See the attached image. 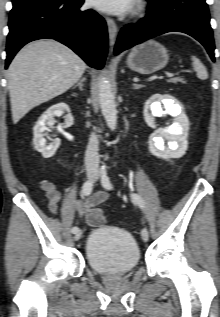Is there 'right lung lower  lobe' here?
<instances>
[{
    "mask_svg": "<svg viewBox=\"0 0 220 317\" xmlns=\"http://www.w3.org/2000/svg\"><path fill=\"white\" fill-rule=\"evenodd\" d=\"M84 0H34L13 6L7 38L6 68L18 50L33 40L55 39L88 65L102 68L107 53V28L93 10L80 11Z\"/></svg>",
    "mask_w": 220,
    "mask_h": 317,
    "instance_id": "1",
    "label": "right lung lower lobe"
}]
</instances>
